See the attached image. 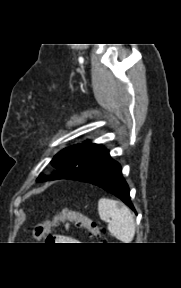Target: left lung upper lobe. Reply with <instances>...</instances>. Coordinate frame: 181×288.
<instances>
[{
	"label": "left lung upper lobe",
	"mask_w": 181,
	"mask_h": 288,
	"mask_svg": "<svg viewBox=\"0 0 181 288\" xmlns=\"http://www.w3.org/2000/svg\"><path fill=\"white\" fill-rule=\"evenodd\" d=\"M109 158V151L101 144L84 141L60 151L52 160L53 165L58 168V172L48 178L40 174L37 181L48 179L80 180L95 171Z\"/></svg>",
	"instance_id": "left-lung-upper-lobe-1"
}]
</instances>
